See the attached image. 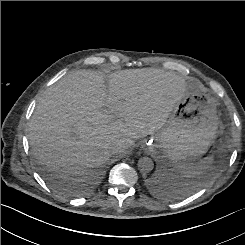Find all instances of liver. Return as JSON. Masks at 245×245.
<instances>
[{
  "label": "liver",
  "mask_w": 245,
  "mask_h": 245,
  "mask_svg": "<svg viewBox=\"0 0 245 245\" xmlns=\"http://www.w3.org/2000/svg\"><path fill=\"white\" fill-rule=\"evenodd\" d=\"M188 88L185 78L160 69H126L104 76L76 71L50 86L29 124L34 156L73 175L104 164L124 145L164 127Z\"/></svg>",
  "instance_id": "1"
}]
</instances>
